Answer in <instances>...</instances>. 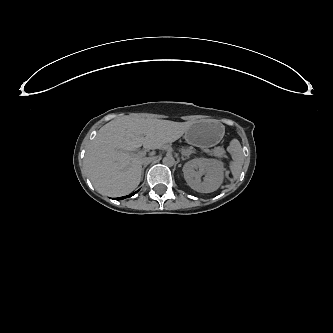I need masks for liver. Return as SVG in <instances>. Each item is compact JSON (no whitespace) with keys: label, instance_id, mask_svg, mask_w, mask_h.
<instances>
[{"label":"liver","instance_id":"6515ba94","mask_svg":"<svg viewBox=\"0 0 333 333\" xmlns=\"http://www.w3.org/2000/svg\"><path fill=\"white\" fill-rule=\"evenodd\" d=\"M181 133H148L130 137L104 134L88 146L85 164L94 187L108 194H127L141 181L142 159L134 152L142 145L156 149L176 141ZM151 157V156H150ZM149 158V157H146Z\"/></svg>","mask_w":333,"mask_h":333}]
</instances>
